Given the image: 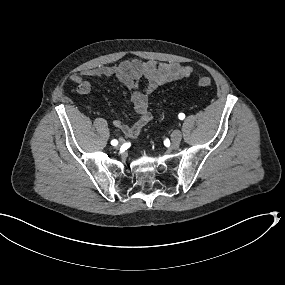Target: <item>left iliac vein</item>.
I'll return each mask as SVG.
<instances>
[{"mask_svg": "<svg viewBox=\"0 0 285 285\" xmlns=\"http://www.w3.org/2000/svg\"><path fill=\"white\" fill-rule=\"evenodd\" d=\"M182 139V133L180 130H174L171 134V142L173 148H178Z\"/></svg>", "mask_w": 285, "mask_h": 285, "instance_id": "left-iliac-vein-1", "label": "left iliac vein"}]
</instances>
